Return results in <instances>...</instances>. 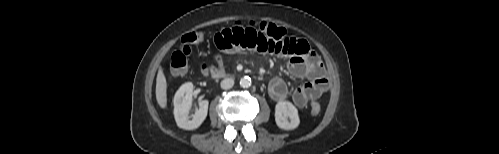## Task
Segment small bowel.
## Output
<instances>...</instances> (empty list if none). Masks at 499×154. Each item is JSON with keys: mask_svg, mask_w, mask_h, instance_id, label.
<instances>
[{"mask_svg": "<svg viewBox=\"0 0 499 154\" xmlns=\"http://www.w3.org/2000/svg\"><path fill=\"white\" fill-rule=\"evenodd\" d=\"M214 41L217 48L224 53L249 50L287 57L289 72L297 78L307 79L305 84L292 93V101L298 108H304L308 103L317 100L329 88V80L320 58L304 39L288 36L285 40L277 41L258 29L234 26L221 30L215 35ZM202 68L204 73H207V65ZM214 71H223L219 56L215 58ZM268 91L271 98L277 102L289 96L288 86L280 77L271 79Z\"/></svg>", "mask_w": 499, "mask_h": 154, "instance_id": "small-bowel-1", "label": "small bowel"}]
</instances>
